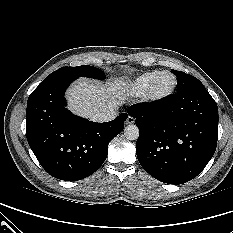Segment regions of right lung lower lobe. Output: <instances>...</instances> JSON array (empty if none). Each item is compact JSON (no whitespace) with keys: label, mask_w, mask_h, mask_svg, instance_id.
Listing matches in <instances>:
<instances>
[{"label":"right lung lower lobe","mask_w":233,"mask_h":233,"mask_svg":"<svg viewBox=\"0 0 233 233\" xmlns=\"http://www.w3.org/2000/svg\"><path fill=\"white\" fill-rule=\"evenodd\" d=\"M77 78L61 77L39 85L29 96L26 136L41 166L53 177L77 181L105 161L109 142L124 128L128 115L96 123L66 109L64 93Z\"/></svg>","instance_id":"obj_1"}]
</instances>
